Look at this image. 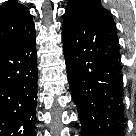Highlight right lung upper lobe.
Here are the masks:
<instances>
[{
  "label": "right lung upper lobe",
  "instance_id": "1",
  "mask_svg": "<svg viewBox=\"0 0 136 136\" xmlns=\"http://www.w3.org/2000/svg\"><path fill=\"white\" fill-rule=\"evenodd\" d=\"M34 34L27 7L11 0L0 6V47L20 43Z\"/></svg>",
  "mask_w": 136,
  "mask_h": 136
}]
</instances>
